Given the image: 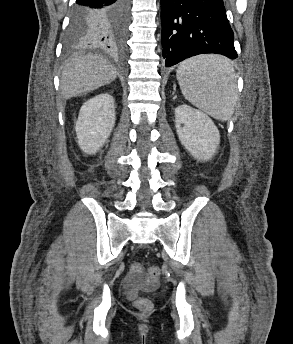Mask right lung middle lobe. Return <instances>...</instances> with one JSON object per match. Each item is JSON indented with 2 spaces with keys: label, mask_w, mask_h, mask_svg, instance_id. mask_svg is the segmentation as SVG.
Masks as SVG:
<instances>
[{
  "label": "right lung middle lobe",
  "mask_w": 293,
  "mask_h": 344,
  "mask_svg": "<svg viewBox=\"0 0 293 344\" xmlns=\"http://www.w3.org/2000/svg\"><path fill=\"white\" fill-rule=\"evenodd\" d=\"M89 22L90 19L86 13L73 11L66 37V45L68 47L87 44L85 27Z\"/></svg>",
  "instance_id": "1"
}]
</instances>
